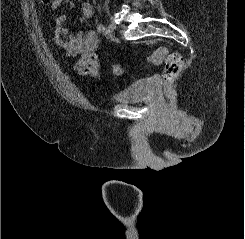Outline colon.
Listing matches in <instances>:
<instances>
[{"label":"colon","mask_w":245,"mask_h":239,"mask_svg":"<svg viewBox=\"0 0 245 239\" xmlns=\"http://www.w3.org/2000/svg\"><path fill=\"white\" fill-rule=\"evenodd\" d=\"M43 4H50L52 0H40ZM151 63L155 65H163L164 87L167 95L170 94L171 86L181 73L184 66L183 57L177 52H171L166 47H157L150 55ZM115 75H122L123 70L120 65L113 66Z\"/></svg>","instance_id":"1"}]
</instances>
